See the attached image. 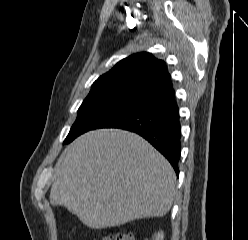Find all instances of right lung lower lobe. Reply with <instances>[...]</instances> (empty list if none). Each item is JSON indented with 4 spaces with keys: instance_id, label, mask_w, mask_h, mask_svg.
Listing matches in <instances>:
<instances>
[{
    "instance_id": "98d812e1",
    "label": "right lung lower lobe",
    "mask_w": 248,
    "mask_h": 240,
    "mask_svg": "<svg viewBox=\"0 0 248 240\" xmlns=\"http://www.w3.org/2000/svg\"><path fill=\"white\" fill-rule=\"evenodd\" d=\"M174 95L172 89L138 100L104 117L90 130L120 128L139 134L168 159L178 176L181 128Z\"/></svg>"
}]
</instances>
